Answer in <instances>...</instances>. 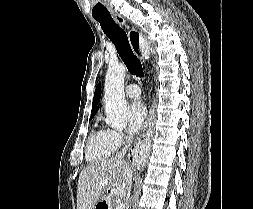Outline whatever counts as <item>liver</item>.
I'll list each match as a JSON object with an SVG mask.
<instances>
[{
  "label": "liver",
  "instance_id": "1",
  "mask_svg": "<svg viewBox=\"0 0 253 209\" xmlns=\"http://www.w3.org/2000/svg\"><path fill=\"white\" fill-rule=\"evenodd\" d=\"M131 168L124 160L116 157L89 164L79 175L77 188V209H94L107 188L113 194L125 196L129 191ZM119 187V192L115 188Z\"/></svg>",
  "mask_w": 253,
  "mask_h": 209
}]
</instances>
